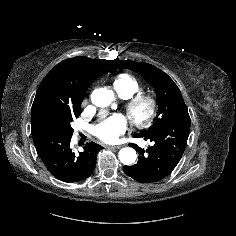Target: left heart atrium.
I'll return each mask as SVG.
<instances>
[{"label": "left heart atrium", "mask_w": 236, "mask_h": 236, "mask_svg": "<svg viewBox=\"0 0 236 236\" xmlns=\"http://www.w3.org/2000/svg\"><path fill=\"white\" fill-rule=\"evenodd\" d=\"M127 129V120L121 114H114L93 128V134L106 143H114Z\"/></svg>", "instance_id": "39dd6f15"}]
</instances>
